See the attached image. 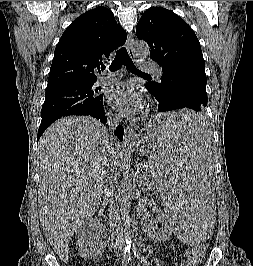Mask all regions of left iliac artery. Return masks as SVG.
I'll return each instance as SVG.
<instances>
[{
	"instance_id": "44dca946",
	"label": "left iliac artery",
	"mask_w": 253,
	"mask_h": 266,
	"mask_svg": "<svg viewBox=\"0 0 253 266\" xmlns=\"http://www.w3.org/2000/svg\"><path fill=\"white\" fill-rule=\"evenodd\" d=\"M133 252H134L135 257H136L138 260H140L141 262H145V263H146L144 256H142V255L138 252L137 248L134 247Z\"/></svg>"
}]
</instances>
